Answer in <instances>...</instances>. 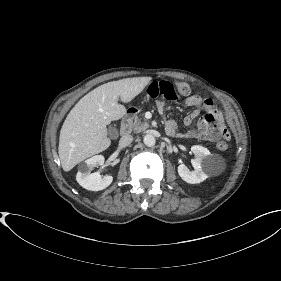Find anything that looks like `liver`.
Returning a JSON list of instances; mask_svg holds the SVG:
<instances>
[{"label": "liver", "mask_w": 281, "mask_h": 281, "mask_svg": "<svg viewBox=\"0 0 281 281\" xmlns=\"http://www.w3.org/2000/svg\"><path fill=\"white\" fill-rule=\"evenodd\" d=\"M150 81L151 77H134L108 82L77 102L60 131L58 153L64 171L110 146L106 126L126 114L119 98L124 103L132 101Z\"/></svg>", "instance_id": "liver-1"}]
</instances>
